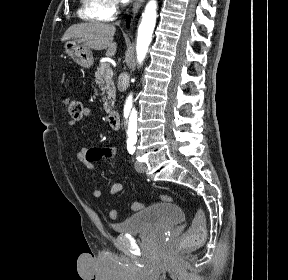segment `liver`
<instances>
[{"label":"liver","instance_id":"obj_1","mask_svg":"<svg viewBox=\"0 0 288 280\" xmlns=\"http://www.w3.org/2000/svg\"><path fill=\"white\" fill-rule=\"evenodd\" d=\"M116 28L114 25L91 22L79 23L70 26L62 37V41L77 40L84 46L94 50L107 49L106 56L112 57L117 50V44L113 42Z\"/></svg>","mask_w":288,"mask_h":280}]
</instances>
